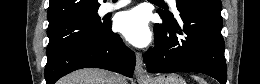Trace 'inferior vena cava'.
Returning <instances> with one entry per match:
<instances>
[{
    "label": "inferior vena cava",
    "mask_w": 260,
    "mask_h": 84,
    "mask_svg": "<svg viewBox=\"0 0 260 84\" xmlns=\"http://www.w3.org/2000/svg\"><path fill=\"white\" fill-rule=\"evenodd\" d=\"M117 84H127V83H126L125 79L120 76V77L117 79Z\"/></svg>",
    "instance_id": "inferior-vena-cava-1"
}]
</instances>
